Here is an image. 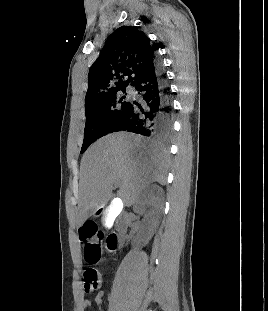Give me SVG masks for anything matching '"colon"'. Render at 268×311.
I'll return each mask as SVG.
<instances>
[{"instance_id": "obj_1", "label": "colon", "mask_w": 268, "mask_h": 311, "mask_svg": "<svg viewBox=\"0 0 268 311\" xmlns=\"http://www.w3.org/2000/svg\"><path fill=\"white\" fill-rule=\"evenodd\" d=\"M80 241L83 247L84 260L88 264H97L103 259L104 249L97 225L93 222L85 223L80 229ZM107 252H110L109 250ZM85 290L92 292L100 285L97 270L89 268L84 271Z\"/></svg>"}]
</instances>
